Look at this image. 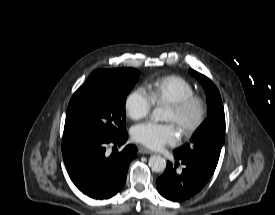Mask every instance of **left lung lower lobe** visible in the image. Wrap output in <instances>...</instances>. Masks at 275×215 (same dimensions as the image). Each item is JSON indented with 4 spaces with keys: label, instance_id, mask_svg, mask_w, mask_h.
<instances>
[{
    "label": "left lung lower lobe",
    "instance_id": "obj_1",
    "mask_svg": "<svg viewBox=\"0 0 275 215\" xmlns=\"http://www.w3.org/2000/svg\"><path fill=\"white\" fill-rule=\"evenodd\" d=\"M176 163L167 162L164 173L156 179L158 192L168 200L182 202L199 193L212 177L215 168L196 160L174 155ZM182 172L177 171L179 164Z\"/></svg>",
    "mask_w": 275,
    "mask_h": 215
}]
</instances>
